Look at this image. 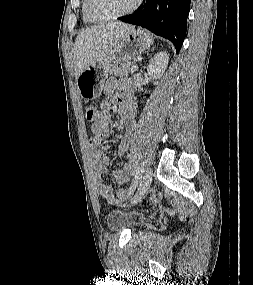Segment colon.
<instances>
[{"label":"colon","mask_w":253,"mask_h":285,"mask_svg":"<svg viewBox=\"0 0 253 285\" xmlns=\"http://www.w3.org/2000/svg\"><path fill=\"white\" fill-rule=\"evenodd\" d=\"M96 114V108L94 106H88L86 108V118L88 121H92L95 118ZM120 194L125 197L126 196V191L123 189H120Z\"/></svg>","instance_id":"obj_1"}]
</instances>
